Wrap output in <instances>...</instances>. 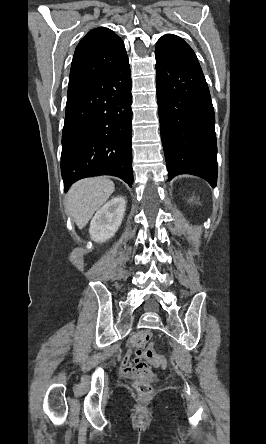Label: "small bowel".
<instances>
[{"label":"small bowel","instance_id":"c3829d8e","mask_svg":"<svg viewBox=\"0 0 266 444\" xmlns=\"http://www.w3.org/2000/svg\"><path fill=\"white\" fill-rule=\"evenodd\" d=\"M149 338V333L136 336L131 342V351L122 359L121 373L128 378L139 380H150L152 371L150 365L142 362V351L140 347Z\"/></svg>","mask_w":266,"mask_h":444}]
</instances>
